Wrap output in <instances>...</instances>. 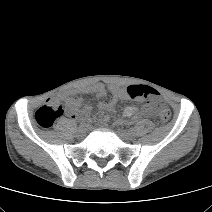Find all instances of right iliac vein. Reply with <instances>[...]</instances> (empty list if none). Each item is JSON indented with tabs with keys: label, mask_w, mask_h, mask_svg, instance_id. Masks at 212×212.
I'll return each mask as SVG.
<instances>
[{
	"label": "right iliac vein",
	"mask_w": 212,
	"mask_h": 212,
	"mask_svg": "<svg viewBox=\"0 0 212 212\" xmlns=\"http://www.w3.org/2000/svg\"><path fill=\"white\" fill-rule=\"evenodd\" d=\"M86 132V128L85 127H81L77 130V136L78 137H83L85 135Z\"/></svg>",
	"instance_id": "obj_1"
}]
</instances>
